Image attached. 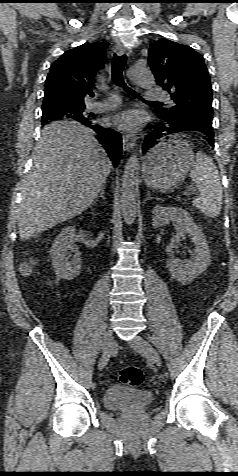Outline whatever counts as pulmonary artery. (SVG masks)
I'll list each match as a JSON object with an SVG mask.
<instances>
[{
  "label": "pulmonary artery",
  "mask_w": 238,
  "mask_h": 476,
  "mask_svg": "<svg viewBox=\"0 0 238 476\" xmlns=\"http://www.w3.org/2000/svg\"><path fill=\"white\" fill-rule=\"evenodd\" d=\"M147 100L153 101H169L166 93L160 88H150L146 93ZM120 103L117 95L111 94L107 99L96 101L92 104V107L96 110L103 111L116 107Z\"/></svg>",
  "instance_id": "1"
}]
</instances>
